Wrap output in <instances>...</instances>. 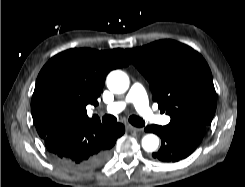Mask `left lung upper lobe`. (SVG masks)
<instances>
[{
  "label": "left lung upper lobe",
  "mask_w": 245,
  "mask_h": 187,
  "mask_svg": "<svg viewBox=\"0 0 245 187\" xmlns=\"http://www.w3.org/2000/svg\"><path fill=\"white\" fill-rule=\"evenodd\" d=\"M126 53L150 83L153 100L170 115V124L210 125L217 97L210 68L197 51L160 40Z\"/></svg>",
  "instance_id": "1"
}]
</instances>
